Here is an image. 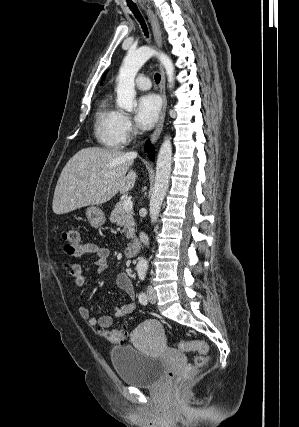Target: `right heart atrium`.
<instances>
[{
  "instance_id": "obj_1",
  "label": "right heart atrium",
  "mask_w": 299,
  "mask_h": 427,
  "mask_svg": "<svg viewBox=\"0 0 299 427\" xmlns=\"http://www.w3.org/2000/svg\"><path fill=\"white\" fill-rule=\"evenodd\" d=\"M119 128L123 143L129 141L135 134L133 123L127 114L121 113Z\"/></svg>"
}]
</instances>
